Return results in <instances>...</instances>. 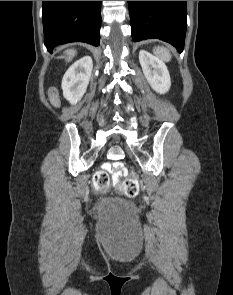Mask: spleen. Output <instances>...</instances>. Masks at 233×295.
<instances>
[{
	"label": "spleen",
	"mask_w": 233,
	"mask_h": 295,
	"mask_svg": "<svg viewBox=\"0 0 233 295\" xmlns=\"http://www.w3.org/2000/svg\"><path fill=\"white\" fill-rule=\"evenodd\" d=\"M154 52L156 55H158L159 57H161L162 59L169 61L171 59V53L170 51L163 47V46H158L154 49Z\"/></svg>",
	"instance_id": "spleen-1"
}]
</instances>
